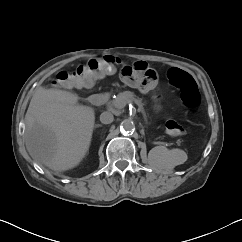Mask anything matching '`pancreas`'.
Wrapping results in <instances>:
<instances>
[{
  "mask_svg": "<svg viewBox=\"0 0 242 242\" xmlns=\"http://www.w3.org/2000/svg\"><path fill=\"white\" fill-rule=\"evenodd\" d=\"M135 102L139 106H142V100L136 98L133 92L124 91L117 95V97L109 102V107L113 110L120 111L129 102Z\"/></svg>",
  "mask_w": 242,
  "mask_h": 242,
  "instance_id": "cf45deb5",
  "label": "pancreas"
}]
</instances>
